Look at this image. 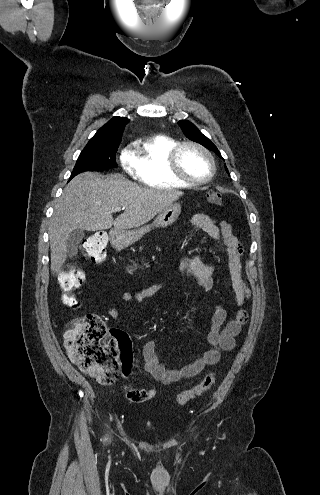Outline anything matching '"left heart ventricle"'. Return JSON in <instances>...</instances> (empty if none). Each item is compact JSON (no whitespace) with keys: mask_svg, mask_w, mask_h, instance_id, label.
Segmentation results:
<instances>
[{"mask_svg":"<svg viewBox=\"0 0 320 495\" xmlns=\"http://www.w3.org/2000/svg\"><path fill=\"white\" fill-rule=\"evenodd\" d=\"M182 171L190 178L203 179L210 171V164L206 156L199 150L187 147L180 156Z\"/></svg>","mask_w":320,"mask_h":495,"instance_id":"b2bd125f","label":"left heart ventricle"}]
</instances>
